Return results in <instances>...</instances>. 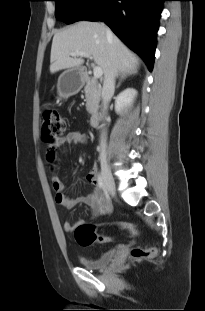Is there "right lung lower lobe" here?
Here are the masks:
<instances>
[{
	"label": "right lung lower lobe",
	"mask_w": 205,
	"mask_h": 311,
	"mask_svg": "<svg viewBox=\"0 0 205 311\" xmlns=\"http://www.w3.org/2000/svg\"><path fill=\"white\" fill-rule=\"evenodd\" d=\"M165 0H103L83 20L104 21L152 71L158 18Z\"/></svg>",
	"instance_id": "98d812e1"
}]
</instances>
